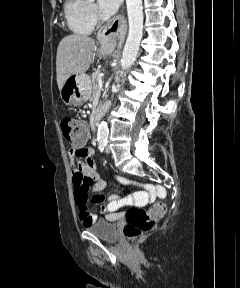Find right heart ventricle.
I'll return each instance as SVG.
<instances>
[{
  "instance_id": "e07e8e85",
  "label": "right heart ventricle",
  "mask_w": 240,
  "mask_h": 288,
  "mask_svg": "<svg viewBox=\"0 0 240 288\" xmlns=\"http://www.w3.org/2000/svg\"><path fill=\"white\" fill-rule=\"evenodd\" d=\"M64 12L67 25L72 32L88 35L93 31L95 21L89 15L86 0H67Z\"/></svg>"
}]
</instances>
